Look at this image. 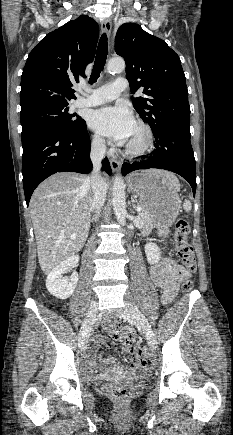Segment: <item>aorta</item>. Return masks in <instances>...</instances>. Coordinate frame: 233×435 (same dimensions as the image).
<instances>
[{
  "mask_svg": "<svg viewBox=\"0 0 233 435\" xmlns=\"http://www.w3.org/2000/svg\"><path fill=\"white\" fill-rule=\"evenodd\" d=\"M125 69V61L121 58L111 59L107 64V71L110 74L121 73ZM125 184L120 175H116L113 182V209L116 219L122 226L126 221V196Z\"/></svg>",
  "mask_w": 233,
  "mask_h": 435,
  "instance_id": "1",
  "label": "aorta"
}]
</instances>
